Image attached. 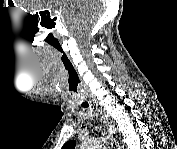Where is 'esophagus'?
<instances>
[{"mask_svg":"<svg viewBox=\"0 0 177 149\" xmlns=\"http://www.w3.org/2000/svg\"><path fill=\"white\" fill-rule=\"evenodd\" d=\"M96 110L100 116L102 123L104 124L105 128L109 132V140L112 149H120V145L118 141L115 139L114 134L116 132V128L112 122L109 121L108 115L104 111V109L96 104Z\"/></svg>","mask_w":177,"mask_h":149,"instance_id":"34e87169","label":"esophagus"}]
</instances>
